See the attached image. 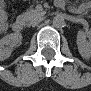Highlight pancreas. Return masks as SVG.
I'll list each match as a JSON object with an SVG mask.
<instances>
[{"label": "pancreas", "mask_w": 91, "mask_h": 91, "mask_svg": "<svg viewBox=\"0 0 91 91\" xmlns=\"http://www.w3.org/2000/svg\"><path fill=\"white\" fill-rule=\"evenodd\" d=\"M43 12L38 9H30L27 12L23 13L21 17H23L27 24H30L36 17L41 16Z\"/></svg>", "instance_id": "pancreas-1"}]
</instances>
